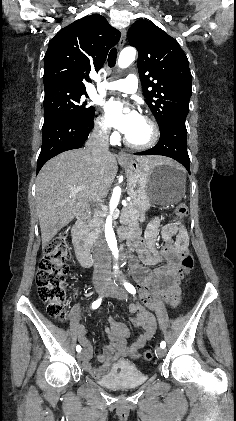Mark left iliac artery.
<instances>
[{"label": "left iliac artery", "instance_id": "1", "mask_svg": "<svg viewBox=\"0 0 236 421\" xmlns=\"http://www.w3.org/2000/svg\"><path fill=\"white\" fill-rule=\"evenodd\" d=\"M124 287L126 288V290L129 292V293H131V294H136V289H135V287L132 285V284H130V283H128V282H124ZM160 347L161 348H165L166 347V343L164 342V341H162L161 343H160Z\"/></svg>", "mask_w": 236, "mask_h": 421}]
</instances>
